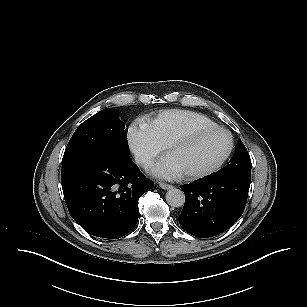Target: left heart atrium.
I'll list each match as a JSON object with an SVG mask.
<instances>
[{
  "label": "left heart atrium",
  "instance_id": "1",
  "mask_svg": "<svg viewBox=\"0 0 307 307\" xmlns=\"http://www.w3.org/2000/svg\"><path fill=\"white\" fill-rule=\"evenodd\" d=\"M149 173L161 179H176L182 176L168 155L161 157L157 163L150 168Z\"/></svg>",
  "mask_w": 307,
  "mask_h": 307
}]
</instances>
